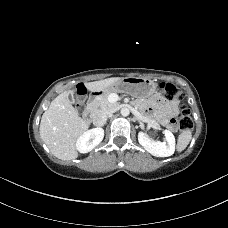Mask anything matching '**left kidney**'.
Listing matches in <instances>:
<instances>
[{
    "label": "left kidney",
    "mask_w": 228,
    "mask_h": 228,
    "mask_svg": "<svg viewBox=\"0 0 228 228\" xmlns=\"http://www.w3.org/2000/svg\"><path fill=\"white\" fill-rule=\"evenodd\" d=\"M163 133L165 136L164 142L153 141L144 132H139L138 141L151 155L156 157H168L175 151V137L169 130H164Z\"/></svg>",
    "instance_id": "5707ae66"
}]
</instances>
